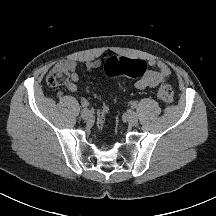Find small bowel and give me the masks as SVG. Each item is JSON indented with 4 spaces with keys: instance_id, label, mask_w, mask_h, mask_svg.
Wrapping results in <instances>:
<instances>
[{
    "instance_id": "small-bowel-1",
    "label": "small bowel",
    "mask_w": 216,
    "mask_h": 216,
    "mask_svg": "<svg viewBox=\"0 0 216 216\" xmlns=\"http://www.w3.org/2000/svg\"><path fill=\"white\" fill-rule=\"evenodd\" d=\"M143 62L154 69L145 71L144 74L136 80L135 87L137 89H154L158 85L165 83L171 77V69L165 62L158 59H149ZM63 64L69 75L65 86L70 92L76 93L78 91L77 82L79 80L78 63L74 60H66ZM101 64L100 60H91L86 63L85 67L87 71L92 72L97 70Z\"/></svg>"
}]
</instances>
